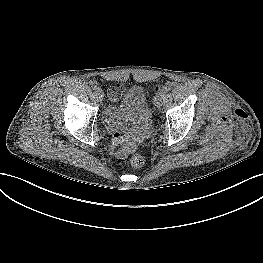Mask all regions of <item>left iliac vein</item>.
Here are the masks:
<instances>
[{"mask_svg": "<svg viewBox=\"0 0 263 263\" xmlns=\"http://www.w3.org/2000/svg\"><path fill=\"white\" fill-rule=\"evenodd\" d=\"M155 102H156L157 104H160V103L162 102V98H161L160 96H157V97L155 98Z\"/></svg>", "mask_w": 263, "mask_h": 263, "instance_id": "left-iliac-vein-1", "label": "left iliac vein"}]
</instances>
